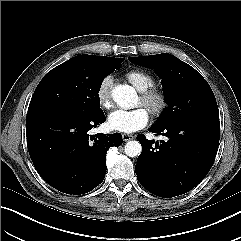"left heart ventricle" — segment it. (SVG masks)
<instances>
[{
    "instance_id": "left-heart-ventricle-1",
    "label": "left heart ventricle",
    "mask_w": 241,
    "mask_h": 241,
    "mask_svg": "<svg viewBox=\"0 0 241 241\" xmlns=\"http://www.w3.org/2000/svg\"><path fill=\"white\" fill-rule=\"evenodd\" d=\"M138 104H141L140 98H139Z\"/></svg>"
}]
</instances>
